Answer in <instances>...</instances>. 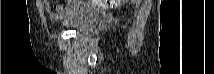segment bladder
<instances>
[{
    "instance_id": "bladder-1",
    "label": "bladder",
    "mask_w": 214,
    "mask_h": 74,
    "mask_svg": "<svg viewBox=\"0 0 214 74\" xmlns=\"http://www.w3.org/2000/svg\"><path fill=\"white\" fill-rule=\"evenodd\" d=\"M100 14L89 8H79L68 11L61 21L63 26L69 27L77 32H88L99 22Z\"/></svg>"
}]
</instances>
